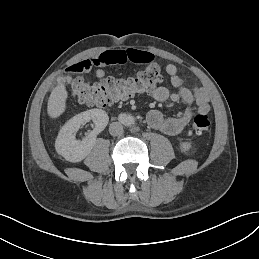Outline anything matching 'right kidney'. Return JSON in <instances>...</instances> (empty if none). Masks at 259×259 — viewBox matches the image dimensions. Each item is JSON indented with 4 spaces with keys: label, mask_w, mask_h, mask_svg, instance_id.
<instances>
[{
    "label": "right kidney",
    "mask_w": 259,
    "mask_h": 259,
    "mask_svg": "<svg viewBox=\"0 0 259 259\" xmlns=\"http://www.w3.org/2000/svg\"><path fill=\"white\" fill-rule=\"evenodd\" d=\"M90 120L95 124L94 129L81 141L76 140L74 133ZM108 121L109 117L102 109L87 110L74 116L59 131L55 141L57 153L70 162L82 161L91 152L96 136L105 129Z\"/></svg>",
    "instance_id": "ca27d5eb"
}]
</instances>
